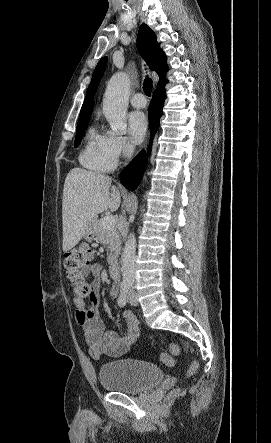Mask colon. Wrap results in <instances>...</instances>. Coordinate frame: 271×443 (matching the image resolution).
I'll return each instance as SVG.
<instances>
[{
    "label": "colon",
    "mask_w": 271,
    "mask_h": 443,
    "mask_svg": "<svg viewBox=\"0 0 271 443\" xmlns=\"http://www.w3.org/2000/svg\"><path fill=\"white\" fill-rule=\"evenodd\" d=\"M93 260V250L86 244L77 246L63 254L62 261L66 277L72 285V291L78 298L89 300L92 294V286L85 280L82 274L83 268L90 265ZM181 354V347L177 343L169 345V351L161 354V360L168 366H173L175 357ZM198 363L193 360L188 370V374L195 373Z\"/></svg>",
    "instance_id": "obj_1"
}]
</instances>
